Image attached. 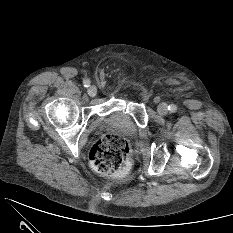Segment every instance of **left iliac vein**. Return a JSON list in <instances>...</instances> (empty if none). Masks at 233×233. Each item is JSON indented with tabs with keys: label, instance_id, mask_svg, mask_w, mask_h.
<instances>
[{
	"label": "left iliac vein",
	"instance_id": "left-iliac-vein-1",
	"mask_svg": "<svg viewBox=\"0 0 233 233\" xmlns=\"http://www.w3.org/2000/svg\"><path fill=\"white\" fill-rule=\"evenodd\" d=\"M168 105L166 103H161L157 107V111L161 116H164L168 113Z\"/></svg>",
	"mask_w": 233,
	"mask_h": 233
}]
</instances>
